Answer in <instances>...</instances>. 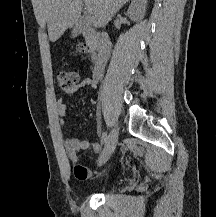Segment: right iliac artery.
I'll use <instances>...</instances> for the list:
<instances>
[{"label": "right iliac artery", "mask_w": 216, "mask_h": 217, "mask_svg": "<svg viewBox=\"0 0 216 217\" xmlns=\"http://www.w3.org/2000/svg\"><path fill=\"white\" fill-rule=\"evenodd\" d=\"M107 140H108L107 133L103 132L102 135H101V143L105 144L107 142Z\"/></svg>", "instance_id": "right-iliac-artery-1"}]
</instances>
